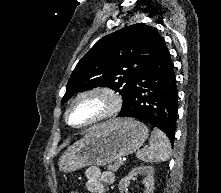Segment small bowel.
<instances>
[{
  "label": "small bowel",
  "instance_id": "c3829d8e",
  "mask_svg": "<svg viewBox=\"0 0 221 193\" xmlns=\"http://www.w3.org/2000/svg\"><path fill=\"white\" fill-rule=\"evenodd\" d=\"M85 178L87 180V189L91 193H104L106 185L114 182V175L107 170H101L97 166L88 167L85 170Z\"/></svg>",
  "mask_w": 221,
  "mask_h": 193
}]
</instances>
